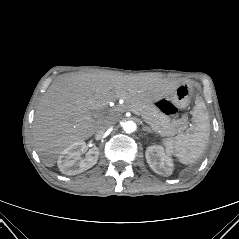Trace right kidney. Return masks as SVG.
I'll use <instances>...</instances> for the list:
<instances>
[{"instance_id":"1","label":"right kidney","mask_w":239,"mask_h":239,"mask_svg":"<svg viewBox=\"0 0 239 239\" xmlns=\"http://www.w3.org/2000/svg\"><path fill=\"white\" fill-rule=\"evenodd\" d=\"M86 148L84 141L76 142L62 151L58 157V167L63 174L76 175L93 167L99 156L98 148L88 150L84 158L81 153Z\"/></svg>"}]
</instances>
